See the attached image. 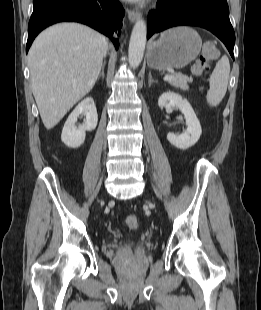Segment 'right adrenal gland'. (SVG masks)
<instances>
[{
  "mask_svg": "<svg viewBox=\"0 0 261 310\" xmlns=\"http://www.w3.org/2000/svg\"><path fill=\"white\" fill-rule=\"evenodd\" d=\"M104 68H105V63L102 65L101 73L99 74L98 78H100V77L104 78L105 77Z\"/></svg>",
  "mask_w": 261,
  "mask_h": 310,
  "instance_id": "2a0ac1e0",
  "label": "right adrenal gland"
}]
</instances>
